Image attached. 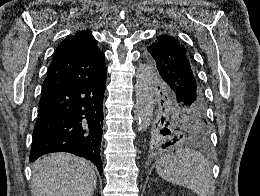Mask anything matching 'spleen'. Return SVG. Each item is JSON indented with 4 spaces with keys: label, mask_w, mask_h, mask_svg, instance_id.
Returning a JSON list of instances; mask_svg holds the SVG:
<instances>
[{
    "label": "spleen",
    "mask_w": 260,
    "mask_h": 196,
    "mask_svg": "<svg viewBox=\"0 0 260 196\" xmlns=\"http://www.w3.org/2000/svg\"><path fill=\"white\" fill-rule=\"evenodd\" d=\"M162 180L193 190L196 196H207L212 188V168L200 152L179 148L175 154H166L156 162Z\"/></svg>",
    "instance_id": "3e777b00"
}]
</instances>
